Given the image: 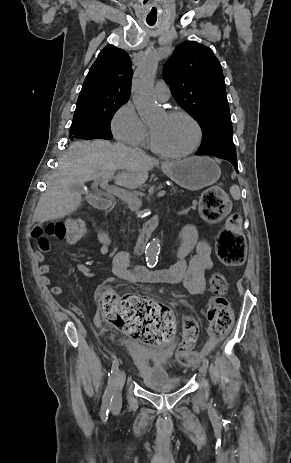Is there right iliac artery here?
<instances>
[{"instance_id":"obj_1","label":"right iliac artery","mask_w":291,"mask_h":463,"mask_svg":"<svg viewBox=\"0 0 291 463\" xmlns=\"http://www.w3.org/2000/svg\"><path fill=\"white\" fill-rule=\"evenodd\" d=\"M118 368L119 361L116 359L112 363L111 373H109L108 386L103 396V402L101 407V416L103 421H106V417L108 416L109 410L112 405L114 388L118 382Z\"/></svg>"}]
</instances>
